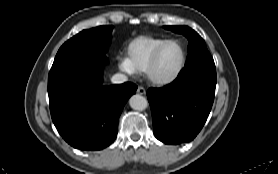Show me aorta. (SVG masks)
<instances>
[{
    "label": "aorta",
    "mask_w": 278,
    "mask_h": 174,
    "mask_svg": "<svg viewBox=\"0 0 278 174\" xmlns=\"http://www.w3.org/2000/svg\"><path fill=\"white\" fill-rule=\"evenodd\" d=\"M129 105L134 110L143 111L147 108L148 101L145 97H143L139 94H135L130 97Z\"/></svg>",
    "instance_id": "1"
}]
</instances>
